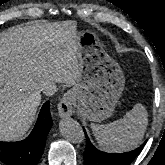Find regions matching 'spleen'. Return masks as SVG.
<instances>
[{
    "instance_id": "1",
    "label": "spleen",
    "mask_w": 165,
    "mask_h": 165,
    "mask_svg": "<svg viewBox=\"0 0 165 165\" xmlns=\"http://www.w3.org/2000/svg\"><path fill=\"white\" fill-rule=\"evenodd\" d=\"M145 107L138 103L123 118L106 125L91 124L99 146L106 152L132 150L141 142L148 123Z\"/></svg>"
}]
</instances>
